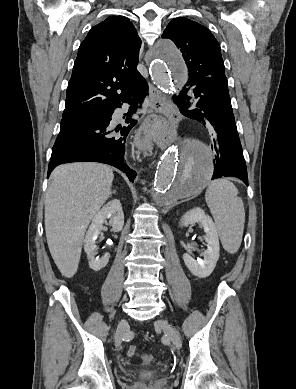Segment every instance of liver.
<instances>
[{
    "label": "liver",
    "instance_id": "obj_1",
    "mask_svg": "<svg viewBox=\"0 0 296 389\" xmlns=\"http://www.w3.org/2000/svg\"><path fill=\"white\" fill-rule=\"evenodd\" d=\"M112 170L79 162L54 169L45 199V232L51 256L67 278L78 269L86 229L111 195Z\"/></svg>",
    "mask_w": 296,
    "mask_h": 389
}]
</instances>
